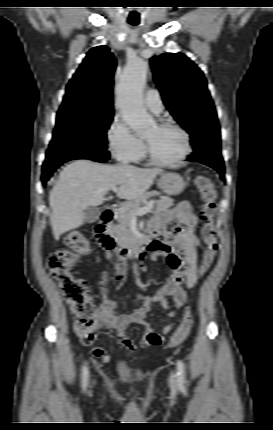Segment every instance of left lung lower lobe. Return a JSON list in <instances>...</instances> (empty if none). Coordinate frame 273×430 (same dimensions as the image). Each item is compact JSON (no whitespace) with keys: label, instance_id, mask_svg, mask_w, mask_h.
Listing matches in <instances>:
<instances>
[{"label":"left lung lower lobe","instance_id":"obj_1","mask_svg":"<svg viewBox=\"0 0 273 430\" xmlns=\"http://www.w3.org/2000/svg\"><path fill=\"white\" fill-rule=\"evenodd\" d=\"M186 161H197L214 168L224 178V162L221 156V144L219 142L204 143L200 148L188 156Z\"/></svg>","mask_w":273,"mask_h":430}]
</instances>
